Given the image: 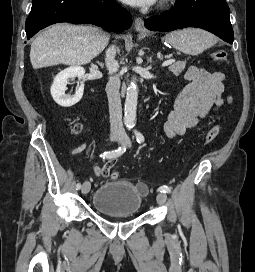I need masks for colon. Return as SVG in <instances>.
<instances>
[{"instance_id":"obj_1","label":"colon","mask_w":255,"mask_h":272,"mask_svg":"<svg viewBox=\"0 0 255 272\" xmlns=\"http://www.w3.org/2000/svg\"><path fill=\"white\" fill-rule=\"evenodd\" d=\"M212 59L219 63H224L227 61V53L224 50H217L212 53ZM82 128L80 123H76L73 125V130L75 132L80 131ZM220 132V126L218 124L213 125L206 133L204 138L203 146H209L214 140L218 137ZM111 178L116 180L119 178V172L114 171L111 173ZM141 191L144 193L146 192L145 188L142 187Z\"/></svg>"}]
</instances>
